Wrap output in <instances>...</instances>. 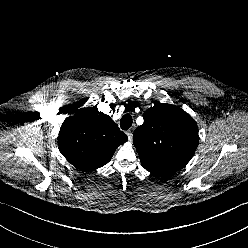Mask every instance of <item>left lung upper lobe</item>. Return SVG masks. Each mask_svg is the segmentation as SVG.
Returning a JSON list of instances; mask_svg holds the SVG:
<instances>
[{
	"label": "left lung upper lobe",
	"instance_id": "5c2ea615",
	"mask_svg": "<svg viewBox=\"0 0 248 248\" xmlns=\"http://www.w3.org/2000/svg\"><path fill=\"white\" fill-rule=\"evenodd\" d=\"M143 117L133 135L142 166L160 177L185 167L199 142L194 119L181 108L162 103L146 110Z\"/></svg>",
	"mask_w": 248,
	"mask_h": 248
}]
</instances>
